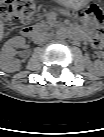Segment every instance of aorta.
Here are the masks:
<instances>
[{"mask_svg": "<svg viewBox=\"0 0 104 137\" xmlns=\"http://www.w3.org/2000/svg\"><path fill=\"white\" fill-rule=\"evenodd\" d=\"M56 35L59 39H66L69 36V32L68 30L61 28L56 32Z\"/></svg>", "mask_w": 104, "mask_h": 137, "instance_id": "1", "label": "aorta"}]
</instances>
